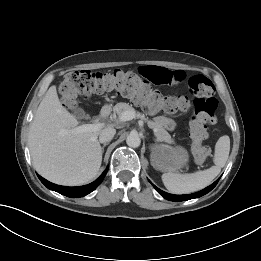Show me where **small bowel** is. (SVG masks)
<instances>
[{"label":"small bowel","instance_id":"c3829d8e","mask_svg":"<svg viewBox=\"0 0 261 261\" xmlns=\"http://www.w3.org/2000/svg\"><path fill=\"white\" fill-rule=\"evenodd\" d=\"M140 73L149 81L157 85H172L182 82L186 74L182 70H170L159 66H143ZM157 122L167 129H172L174 123L166 117H158Z\"/></svg>","mask_w":261,"mask_h":261}]
</instances>
